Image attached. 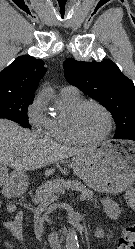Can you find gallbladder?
<instances>
[{
    "mask_svg": "<svg viewBox=\"0 0 135 249\" xmlns=\"http://www.w3.org/2000/svg\"><path fill=\"white\" fill-rule=\"evenodd\" d=\"M5 172H7V166L2 162H0V185H1V177Z\"/></svg>",
    "mask_w": 135,
    "mask_h": 249,
    "instance_id": "obj_1",
    "label": "gallbladder"
}]
</instances>
